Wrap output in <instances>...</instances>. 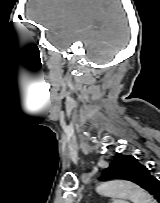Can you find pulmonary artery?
Instances as JSON below:
<instances>
[{
    "mask_svg": "<svg viewBox=\"0 0 160 203\" xmlns=\"http://www.w3.org/2000/svg\"><path fill=\"white\" fill-rule=\"evenodd\" d=\"M114 203H129L127 200H115Z\"/></svg>",
    "mask_w": 160,
    "mask_h": 203,
    "instance_id": "e3ab8cb5",
    "label": "pulmonary artery"
}]
</instances>
